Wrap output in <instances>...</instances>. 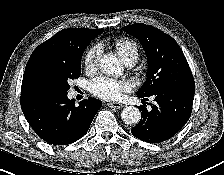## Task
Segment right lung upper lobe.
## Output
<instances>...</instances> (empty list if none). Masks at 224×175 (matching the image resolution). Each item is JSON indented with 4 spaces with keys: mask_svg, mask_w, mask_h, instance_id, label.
Wrapping results in <instances>:
<instances>
[{
    "mask_svg": "<svg viewBox=\"0 0 224 175\" xmlns=\"http://www.w3.org/2000/svg\"><path fill=\"white\" fill-rule=\"evenodd\" d=\"M101 33L102 30L96 29H64L55 34L49 40L40 44L33 51L32 55L28 60L26 68H28L34 61L40 58L65 56L76 50L86 47L93 38H95Z\"/></svg>",
    "mask_w": 224,
    "mask_h": 175,
    "instance_id": "cb5924a9",
    "label": "right lung upper lobe"
}]
</instances>
